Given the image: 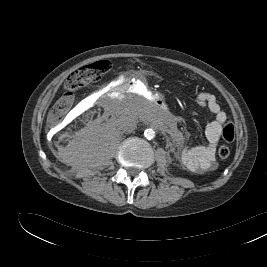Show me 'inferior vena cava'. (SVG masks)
<instances>
[{"mask_svg":"<svg viewBox=\"0 0 267 267\" xmlns=\"http://www.w3.org/2000/svg\"><path fill=\"white\" fill-rule=\"evenodd\" d=\"M116 126L122 132H132L136 128V120L129 116H120L116 120Z\"/></svg>","mask_w":267,"mask_h":267,"instance_id":"obj_1","label":"inferior vena cava"}]
</instances>
